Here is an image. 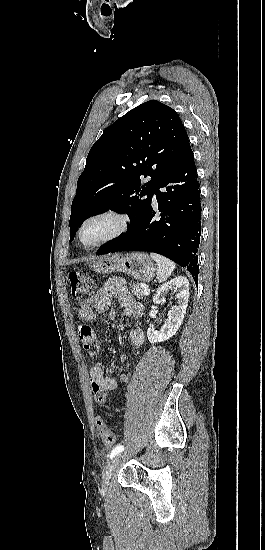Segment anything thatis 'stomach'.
<instances>
[{"mask_svg":"<svg viewBox=\"0 0 265 550\" xmlns=\"http://www.w3.org/2000/svg\"><path fill=\"white\" fill-rule=\"evenodd\" d=\"M91 267L97 273L123 272L143 282H150L157 270L149 255L140 252L101 256L96 258Z\"/></svg>","mask_w":265,"mask_h":550,"instance_id":"1","label":"stomach"}]
</instances>
